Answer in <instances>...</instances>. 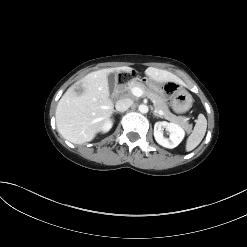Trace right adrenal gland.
I'll use <instances>...</instances> for the list:
<instances>
[{"label": "right adrenal gland", "mask_w": 247, "mask_h": 247, "mask_svg": "<svg viewBox=\"0 0 247 247\" xmlns=\"http://www.w3.org/2000/svg\"><path fill=\"white\" fill-rule=\"evenodd\" d=\"M113 112L118 113V111L114 110Z\"/></svg>", "instance_id": "right-adrenal-gland-1"}]
</instances>
